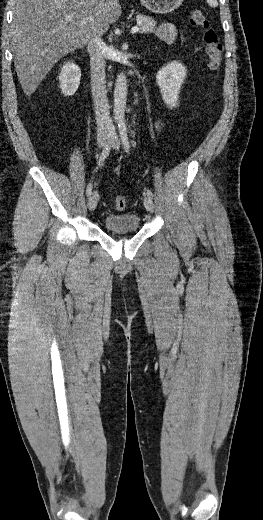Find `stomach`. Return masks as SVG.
I'll use <instances>...</instances> for the list:
<instances>
[{
    "mask_svg": "<svg viewBox=\"0 0 263 520\" xmlns=\"http://www.w3.org/2000/svg\"><path fill=\"white\" fill-rule=\"evenodd\" d=\"M140 2L146 9L153 13L166 14L180 7L183 0H140Z\"/></svg>",
    "mask_w": 263,
    "mask_h": 520,
    "instance_id": "obj_1",
    "label": "stomach"
}]
</instances>
